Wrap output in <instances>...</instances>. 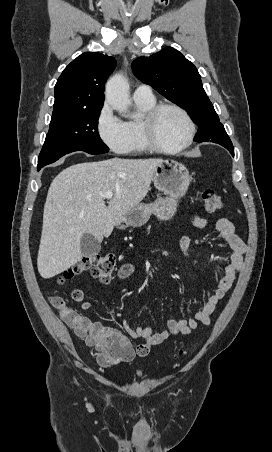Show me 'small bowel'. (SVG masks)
I'll use <instances>...</instances> for the list:
<instances>
[{
	"label": "small bowel",
	"instance_id": "small-bowel-1",
	"mask_svg": "<svg viewBox=\"0 0 272 452\" xmlns=\"http://www.w3.org/2000/svg\"><path fill=\"white\" fill-rule=\"evenodd\" d=\"M192 223L197 228H205L209 225L207 219L194 216ZM216 229L218 230L221 239L227 244L230 249L229 262L224 268L223 276L218 284L215 292L208 298L203 308L195 313L193 318L175 321H168V328L161 332H153L150 327L138 326L136 329H132L126 320L123 321V326L126 333L112 327H104L99 322L91 321L88 317L80 315L76 310L71 309L69 314H62L61 317L69 328L74 333L84 339L90 345H97L99 338L103 336H111L119 339L124 345L130 348L131 356L129 360L135 356L129 338H141L143 343L138 345L144 346L148 349L151 346L161 344L170 337L177 335H186L195 330L199 324L209 325L211 317L216 310L219 302L225 297L238 274L244 267V254L247 247L243 240L235 233L234 226L227 218H220L216 222ZM192 240L189 236H182L179 240V246L184 256L191 262L196 263L197 260L190 254ZM135 272V265L133 263H125L118 270V278L124 280ZM72 299L81 304V309L84 311L90 310L93 304L89 301H85L84 292L79 289H75L71 293ZM136 348V354L139 356L147 355L148 351L139 353Z\"/></svg>",
	"mask_w": 272,
	"mask_h": 452
}]
</instances>
